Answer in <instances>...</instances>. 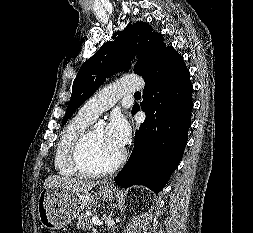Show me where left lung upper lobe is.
<instances>
[{"label":"left lung upper lobe","mask_w":253,"mask_h":233,"mask_svg":"<svg viewBox=\"0 0 253 233\" xmlns=\"http://www.w3.org/2000/svg\"><path fill=\"white\" fill-rule=\"evenodd\" d=\"M169 47V46H168ZM163 36L153 32L145 22L129 23L123 31H117L112 41L106 42L81 66L72 87L62 125L110 75L119 71H129L131 60L137 56L134 72L144 76L156 64L168 48Z\"/></svg>","instance_id":"obj_1"}]
</instances>
